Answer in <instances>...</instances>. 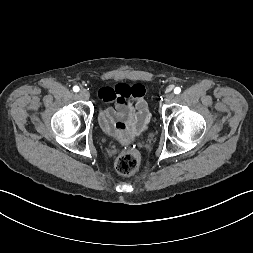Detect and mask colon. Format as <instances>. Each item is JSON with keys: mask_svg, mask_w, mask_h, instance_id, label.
Instances as JSON below:
<instances>
[{"mask_svg": "<svg viewBox=\"0 0 253 253\" xmlns=\"http://www.w3.org/2000/svg\"><path fill=\"white\" fill-rule=\"evenodd\" d=\"M140 164V159L138 155L130 150L121 152L115 161V168L118 173L124 176H129L134 174Z\"/></svg>", "mask_w": 253, "mask_h": 253, "instance_id": "colon-1", "label": "colon"}]
</instances>
